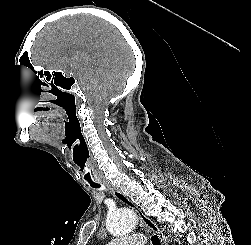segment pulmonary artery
Masks as SVG:
<instances>
[{"mask_svg": "<svg viewBox=\"0 0 251 245\" xmlns=\"http://www.w3.org/2000/svg\"><path fill=\"white\" fill-rule=\"evenodd\" d=\"M145 236L141 234L132 235L124 239H116L108 245H144Z\"/></svg>", "mask_w": 251, "mask_h": 245, "instance_id": "pulmonary-artery-1", "label": "pulmonary artery"}]
</instances>
